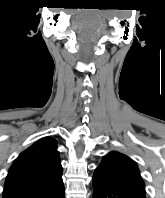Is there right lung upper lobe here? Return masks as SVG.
Wrapping results in <instances>:
<instances>
[{
  "label": "right lung upper lobe",
  "mask_w": 165,
  "mask_h": 198,
  "mask_svg": "<svg viewBox=\"0 0 165 198\" xmlns=\"http://www.w3.org/2000/svg\"><path fill=\"white\" fill-rule=\"evenodd\" d=\"M56 144L45 137L23 151L9 169L2 198H53L63 190Z\"/></svg>",
  "instance_id": "obj_1"
}]
</instances>
